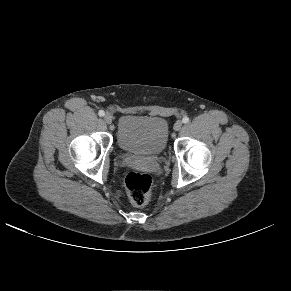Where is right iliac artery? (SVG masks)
I'll return each instance as SVG.
<instances>
[{
  "label": "right iliac artery",
  "mask_w": 291,
  "mask_h": 291,
  "mask_svg": "<svg viewBox=\"0 0 291 291\" xmlns=\"http://www.w3.org/2000/svg\"><path fill=\"white\" fill-rule=\"evenodd\" d=\"M98 115H99L100 117H103V116L105 115V112H104L103 110H100V111L98 112Z\"/></svg>",
  "instance_id": "obj_1"
}]
</instances>
